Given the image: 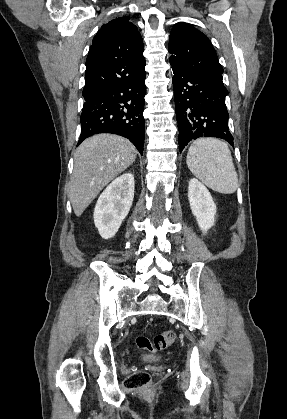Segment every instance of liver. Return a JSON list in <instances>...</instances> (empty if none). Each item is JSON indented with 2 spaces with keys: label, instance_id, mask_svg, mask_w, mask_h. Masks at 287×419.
<instances>
[{
  "label": "liver",
  "instance_id": "obj_1",
  "mask_svg": "<svg viewBox=\"0 0 287 419\" xmlns=\"http://www.w3.org/2000/svg\"><path fill=\"white\" fill-rule=\"evenodd\" d=\"M134 145L118 135L97 134L86 139L74 155L69 199L77 217L115 177L136 159Z\"/></svg>",
  "mask_w": 287,
  "mask_h": 419
}]
</instances>
